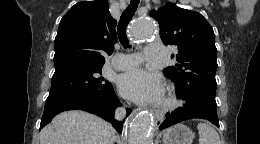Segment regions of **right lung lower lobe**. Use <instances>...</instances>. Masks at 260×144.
Returning <instances> with one entry per match:
<instances>
[{
	"label": "right lung lower lobe",
	"mask_w": 260,
	"mask_h": 144,
	"mask_svg": "<svg viewBox=\"0 0 260 144\" xmlns=\"http://www.w3.org/2000/svg\"><path fill=\"white\" fill-rule=\"evenodd\" d=\"M121 103L117 98L114 90L97 97H66L45 102V109L40 123V129L48 124L54 116L67 110H84L97 116H100L108 122H112V126L119 132H122L123 123L114 119L115 109ZM131 110L127 109L130 114Z\"/></svg>",
	"instance_id": "obj_1"
}]
</instances>
